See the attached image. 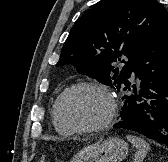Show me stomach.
Segmentation results:
<instances>
[{
  "instance_id": "obj_1",
  "label": "stomach",
  "mask_w": 168,
  "mask_h": 162,
  "mask_svg": "<svg viewBox=\"0 0 168 162\" xmlns=\"http://www.w3.org/2000/svg\"><path fill=\"white\" fill-rule=\"evenodd\" d=\"M128 154V144L120 138L111 137L88 149L70 162H121Z\"/></svg>"
}]
</instances>
